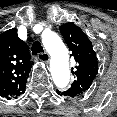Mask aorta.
I'll return each mask as SVG.
<instances>
[{
	"label": "aorta",
	"instance_id": "762f6f07",
	"mask_svg": "<svg viewBox=\"0 0 117 117\" xmlns=\"http://www.w3.org/2000/svg\"><path fill=\"white\" fill-rule=\"evenodd\" d=\"M42 43L51 56V75L58 88H65L70 81L69 52L58 34L48 31L42 34Z\"/></svg>",
	"mask_w": 117,
	"mask_h": 117
}]
</instances>
